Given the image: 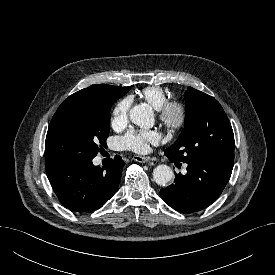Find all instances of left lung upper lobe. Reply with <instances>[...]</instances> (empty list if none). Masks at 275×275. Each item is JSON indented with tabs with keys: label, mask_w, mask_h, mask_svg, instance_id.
<instances>
[{
	"label": "left lung upper lobe",
	"mask_w": 275,
	"mask_h": 275,
	"mask_svg": "<svg viewBox=\"0 0 275 275\" xmlns=\"http://www.w3.org/2000/svg\"><path fill=\"white\" fill-rule=\"evenodd\" d=\"M185 102V128L165 155L184 163L199 158L234 163L233 130L220 103L192 87L185 93Z\"/></svg>",
	"instance_id": "5c2ea615"
}]
</instances>
